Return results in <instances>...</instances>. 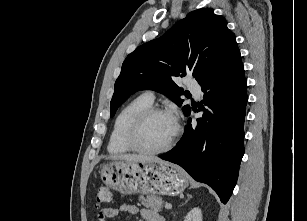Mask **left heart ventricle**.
Masks as SVG:
<instances>
[{"mask_svg": "<svg viewBox=\"0 0 307 221\" xmlns=\"http://www.w3.org/2000/svg\"><path fill=\"white\" fill-rule=\"evenodd\" d=\"M176 124L169 114H156L147 119L139 135V142L146 148L163 146L172 137Z\"/></svg>", "mask_w": 307, "mask_h": 221, "instance_id": "obj_1", "label": "left heart ventricle"}]
</instances>
